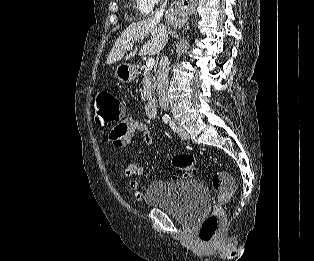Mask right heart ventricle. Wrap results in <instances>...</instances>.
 <instances>
[{
  "label": "right heart ventricle",
  "mask_w": 314,
  "mask_h": 261,
  "mask_svg": "<svg viewBox=\"0 0 314 261\" xmlns=\"http://www.w3.org/2000/svg\"><path fill=\"white\" fill-rule=\"evenodd\" d=\"M134 4L137 11H139L140 13L147 14L150 12L147 10V7L142 0H134Z\"/></svg>",
  "instance_id": "e07e8e85"
}]
</instances>
